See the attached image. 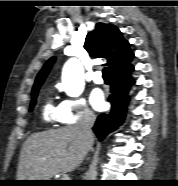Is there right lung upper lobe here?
<instances>
[{
	"label": "right lung upper lobe",
	"instance_id": "right-lung-upper-lobe-1",
	"mask_svg": "<svg viewBox=\"0 0 178 186\" xmlns=\"http://www.w3.org/2000/svg\"><path fill=\"white\" fill-rule=\"evenodd\" d=\"M84 47L92 57L105 58L109 72L130 63L134 58L130 44L112 24L97 23L95 29L87 34ZM54 61V57L50 58L38 73L32 94L38 92Z\"/></svg>",
	"mask_w": 178,
	"mask_h": 186
}]
</instances>
